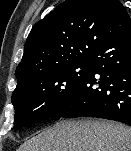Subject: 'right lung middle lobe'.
<instances>
[{
    "label": "right lung middle lobe",
    "mask_w": 131,
    "mask_h": 151,
    "mask_svg": "<svg viewBox=\"0 0 131 151\" xmlns=\"http://www.w3.org/2000/svg\"><path fill=\"white\" fill-rule=\"evenodd\" d=\"M90 75L89 63L62 67L17 87L12 94L14 129L53 117Z\"/></svg>",
    "instance_id": "dd1d6c3e"
}]
</instances>
